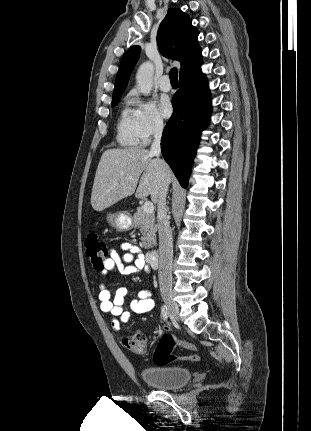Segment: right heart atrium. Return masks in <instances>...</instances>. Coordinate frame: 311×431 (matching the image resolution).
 <instances>
[{
    "label": "right heart atrium",
    "instance_id": "obj_1",
    "mask_svg": "<svg viewBox=\"0 0 311 431\" xmlns=\"http://www.w3.org/2000/svg\"><path fill=\"white\" fill-rule=\"evenodd\" d=\"M127 101L134 106L133 110L142 130V144H148L153 138L163 134L166 122L152 102L140 100L134 92L128 94Z\"/></svg>",
    "mask_w": 311,
    "mask_h": 431
}]
</instances>
